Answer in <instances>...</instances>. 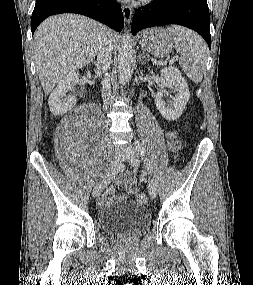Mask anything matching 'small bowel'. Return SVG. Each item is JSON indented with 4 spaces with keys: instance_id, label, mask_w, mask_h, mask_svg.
Segmentation results:
<instances>
[{
    "instance_id": "1",
    "label": "small bowel",
    "mask_w": 253,
    "mask_h": 285,
    "mask_svg": "<svg viewBox=\"0 0 253 285\" xmlns=\"http://www.w3.org/2000/svg\"><path fill=\"white\" fill-rule=\"evenodd\" d=\"M168 137L170 138L169 141V149L171 152H176L179 149V142L174 139L175 132L168 131L167 132ZM116 183L118 185L124 186L126 188V193L117 197H114V188L109 187L104 192V194L101 197L100 205L101 206H108L112 204L113 202H122L126 201L131 195H133L136 192V183L133 179L129 178L126 174L120 175Z\"/></svg>"
}]
</instances>
